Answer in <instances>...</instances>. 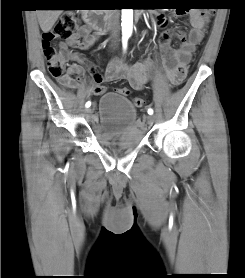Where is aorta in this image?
Here are the masks:
<instances>
[{
	"label": "aorta",
	"mask_w": 245,
	"mask_h": 278,
	"mask_svg": "<svg viewBox=\"0 0 245 278\" xmlns=\"http://www.w3.org/2000/svg\"><path fill=\"white\" fill-rule=\"evenodd\" d=\"M122 35L129 37L133 30V9H122L121 17Z\"/></svg>",
	"instance_id": "aorta-1"
}]
</instances>
